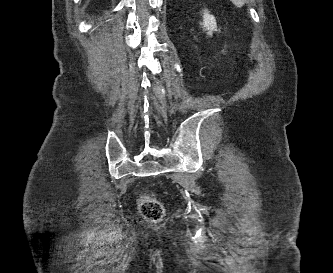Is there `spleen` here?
I'll list each match as a JSON object with an SVG mask.
<instances>
[{
  "instance_id": "1",
  "label": "spleen",
  "mask_w": 333,
  "mask_h": 273,
  "mask_svg": "<svg viewBox=\"0 0 333 273\" xmlns=\"http://www.w3.org/2000/svg\"><path fill=\"white\" fill-rule=\"evenodd\" d=\"M235 6L242 7L246 0H230Z\"/></svg>"
}]
</instances>
